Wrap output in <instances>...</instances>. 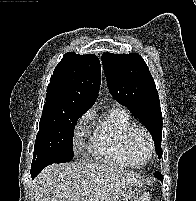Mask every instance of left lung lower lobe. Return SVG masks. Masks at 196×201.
<instances>
[{"mask_svg":"<svg viewBox=\"0 0 196 201\" xmlns=\"http://www.w3.org/2000/svg\"><path fill=\"white\" fill-rule=\"evenodd\" d=\"M154 176L156 177V178H158V179H160L161 181H163V176L161 175V173L160 172H155L154 173Z\"/></svg>","mask_w":196,"mask_h":201,"instance_id":"obj_1","label":"left lung lower lobe"}]
</instances>
